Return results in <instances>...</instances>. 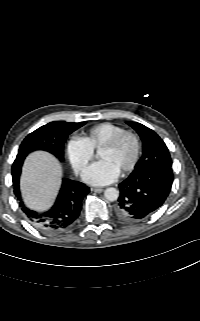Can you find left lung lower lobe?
<instances>
[{
    "mask_svg": "<svg viewBox=\"0 0 200 321\" xmlns=\"http://www.w3.org/2000/svg\"><path fill=\"white\" fill-rule=\"evenodd\" d=\"M172 183L173 172L170 167L135 169L119 184L120 196L115 206L118 218L124 222L146 219L165 202Z\"/></svg>",
    "mask_w": 200,
    "mask_h": 321,
    "instance_id": "0a47b994",
    "label": "left lung lower lobe"
}]
</instances>
